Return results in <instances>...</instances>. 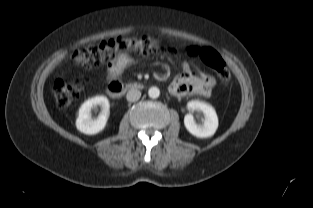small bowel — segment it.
<instances>
[{
    "label": "small bowel",
    "mask_w": 313,
    "mask_h": 208,
    "mask_svg": "<svg viewBox=\"0 0 313 208\" xmlns=\"http://www.w3.org/2000/svg\"><path fill=\"white\" fill-rule=\"evenodd\" d=\"M134 63V59L128 53L114 55L108 63V78L114 82L118 80L125 69ZM181 72L177 74L169 84V92L176 97L211 95L214 80L210 84L205 76L191 70L187 61L180 62Z\"/></svg>",
    "instance_id": "1"
}]
</instances>
